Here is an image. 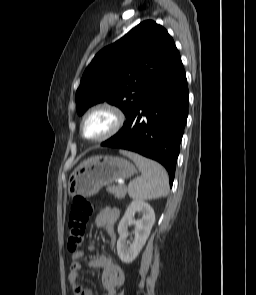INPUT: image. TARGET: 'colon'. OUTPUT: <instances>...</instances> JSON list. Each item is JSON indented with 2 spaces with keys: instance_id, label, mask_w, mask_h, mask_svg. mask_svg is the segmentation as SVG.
Instances as JSON below:
<instances>
[{
  "instance_id": "5ec220e1",
  "label": "colon",
  "mask_w": 256,
  "mask_h": 295,
  "mask_svg": "<svg viewBox=\"0 0 256 295\" xmlns=\"http://www.w3.org/2000/svg\"><path fill=\"white\" fill-rule=\"evenodd\" d=\"M96 206L83 196H76L69 211L67 248L77 252L82 243L86 224L95 212Z\"/></svg>"
}]
</instances>
